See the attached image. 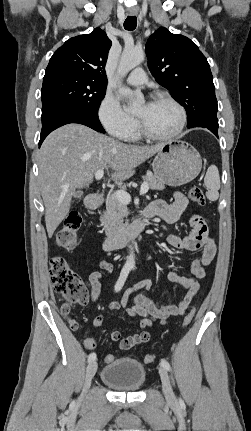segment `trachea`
<instances>
[{
    "label": "trachea",
    "instance_id": "obj_1",
    "mask_svg": "<svg viewBox=\"0 0 251 431\" xmlns=\"http://www.w3.org/2000/svg\"><path fill=\"white\" fill-rule=\"evenodd\" d=\"M137 26L136 16H128L124 22V28L128 31H132Z\"/></svg>",
    "mask_w": 251,
    "mask_h": 431
}]
</instances>
